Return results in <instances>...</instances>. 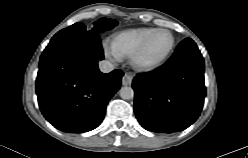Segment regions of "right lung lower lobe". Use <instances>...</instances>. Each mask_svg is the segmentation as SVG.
<instances>
[{"label":"right lung lower lobe","mask_w":248,"mask_h":158,"mask_svg":"<svg viewBox=\"0 0 248 158\" xmlns=\"http://www.w3.org/2000/svg\"><path fill=\"white\" fill-rule=\"evenodd\" d=\"M99 34H56L43 51L36 79V93L44 117L69 133L93 130L103 120L106 105L119 90L123 72L104 74Z\"/></svg>","instance_id":"98d812e1"}]
</instances>
